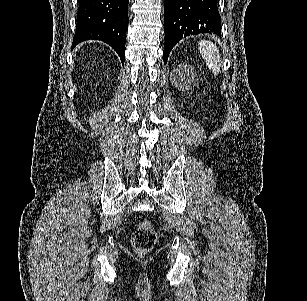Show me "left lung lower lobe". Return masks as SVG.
Instances as JSON below:
<instances>
[{
	"label": "left lung lower lobe",
	"mask_w": 307,
	"mask_h": 301,
	"mask_svg": "<svg viewBox=\"0 0 307 301\" xmlns=\"http://www.w3.org/2000/svg\"><path fill=\"white\" fill-rule=\"evenodd\" d=\"M164 32L165 63L172 48L183 37L200 33L221 35L217 0H165Z\"/></svg>",
	"instance_id": "1"
}]
</instances>
